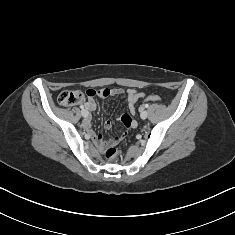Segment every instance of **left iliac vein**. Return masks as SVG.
Instances as JSON below:
<instances>
[{
  "mask_svg": "<svg viewBox=\"0 0 235 235\" xmlns=\"http://www.w3.org/2000/svg\"><path fill=\"white\" fill-rule=\"evenodd\" d=\"M140 116H141L142 119H146L147 116H148L147 111L143 110V111L141 112Z\"/></svg>",
  "mask_w": 235,
  "mask_h": 235,
  "instance_id": "obj_1",
  "label": "left iliac vein"
}]
</instances>
